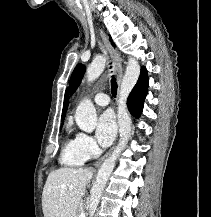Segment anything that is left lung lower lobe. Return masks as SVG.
I'll use <instances>...</instances> for the list:
<instances>
[{
	"label": "left lung lower lobe",
	"instance_id": "0a47b994",
	"mask_svg": "<svg viewBox=\"0 0 211 217\" xmlns=\"http://www.w3.org/2000/svg\"><path fill=\"white\" fill-rule=\"evenodd\" d=\"M147 89H148L147 70L145 67H142L139 79L136 85L134 86L133 90L129 94L127 100L128 109L130 113L136 118H139V116L141 115L144 99L147 95Z\"/></svg>",
	"mask_w": 211,
	"mask_h": 217
}]
</instances>
